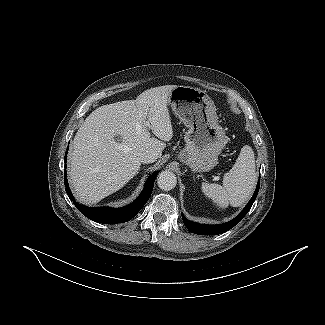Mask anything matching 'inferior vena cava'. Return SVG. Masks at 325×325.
Here are the masks:
<instances>
[{
    "instance_id": "1",
    "label": "inferior vena cava",
    "mask_w": 325,
    "mask_h": 325,
    "mask_svg": "<svg viewBox=\"0 0 325 325\" xmlns=\"http://www.w3.org/2000/svg\"><path fill=\"white\" fill-rule=\"evenodd\" d=\"M158 159V153L153 150H146L140 155L141 163H153Z\"/></svg>"
}]
</instances>
